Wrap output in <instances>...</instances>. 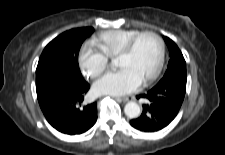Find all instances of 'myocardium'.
Wrapping results in <instances>:
<instances>
[{
  "label": "myocardium",
  "mask_w": 225,
  "mask_h": 155,
  "mask_svg": "<svg viewBox=\"0 0 225 155\" xmlns=\"http://www.w3.org/2000/svg\"><path fill=\"white\" fill-rule=\"evenodd\" d=\"M144 36L154 37L157 40L158 46H159V54H158V60H157L156 66L154 70L152 71V73L143 80V83L147 84L157 78L163 66L164 56H165V44L160 35H158L157 33L153 31L139 32L138 34L134 35L126 42V44L123 46V48L120 50V52L118 53L116 57L119 58V57L129 55L133 51L138 40Z\"/></svg>",
  "instance_id": "1"
}]
</instances>
